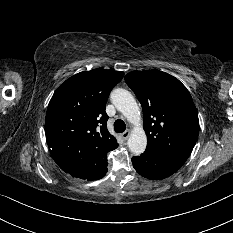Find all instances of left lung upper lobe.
I'll return each mask as SVG.
<instances>
[{
    "label": "left lung upper lobe",
    "instance_id": "left-lung-upper-lobe-1",
    "mask_svg": "<svg viewBox=\"0 0 233 233\" xmlns=\"http://www.w3.org/2000/svg\"><path fill=\"white\" fill-rule=\"evenodd\" d=\"M125 81L143 108L146 150L186 161L199 134L198 114L186 87L158 70L132 71Z\"/></svg>",
    "mask_w": 233,
    "mask_h": 233
}]
</instances>
